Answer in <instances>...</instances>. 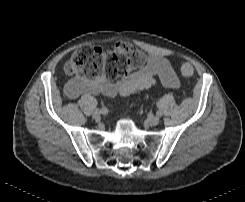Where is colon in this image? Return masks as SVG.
I'll return each mask as SVG.
<instances>
[{
  "label": "colon",
  "instance_id": "5ec220e1",
  "mask_svg": "<svg viewBox=\"0 0 245 202\" xmlns=\"http://www.w3.org/2000/svg\"><path fill=\"white\" fill-rule=\"evenodd\" d=\"M145 61V53L128 42H119L110 50L84 45L72 53L65 68L77 78L96 79L105 75L109 79H118L132 69L143 67ZM179 71L187 77L193 73V67L189 63H183ZM70 88L71 84L68 86Z\"/></svg>",
  "mask_w": 245,
  "mask_h": 202
}]
</instances>
